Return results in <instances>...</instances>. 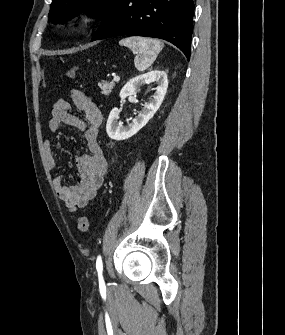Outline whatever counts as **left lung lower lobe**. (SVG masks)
I'll list each match as a JSON object with an SVG mask.
<instances>
[{
	"instance_id": "obj_1",
	"label": "left lung lower lobe",
	"mask_w": 285,
	"mask_h": 335,
	"mask_svg": "<svg viewBox=\"0 0 285 335\" xmlns=\"http://www.w3.org/2000/svg\"><path fill=\"white\" fill-rule=\"evenodd\" d=\"M193 10V0H117L91 41L120 35L160 38L189 60Z\"/></svg>"
}]
</instances>
